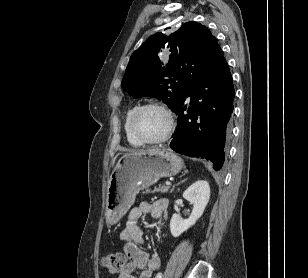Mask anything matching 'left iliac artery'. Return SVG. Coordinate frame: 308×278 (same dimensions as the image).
Here are the masks:
<instances>
[{"label":"left iliac artery","instance_id":"left-iliac-artery-1","mask_svg":"<svg viewBox=\"0 0 308 278\" xmlns=\"http://www.w3.org/2000/svg\"><path fill=\"white\" fill-rule=\"evenodd\" d=\"M156 278H162V274L161 273H158Z\"/></svg>","mask_w":308,"mask_h":278}]
</instances>
